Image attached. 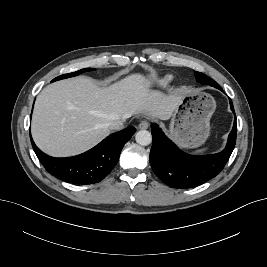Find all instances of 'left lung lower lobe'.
Listing matches in <instances>:
<instances>
[{"label":"left lung lower lobe","instance_id":"1","mask_svg":"<svg viewBox=\"0 0 267 267\" xmlns=\"http://www.w3.org/2000/svg\"><path fill=\"white\" fill-rule=\"evenodd\" d=\"M215 88L222 90L219 85ZM229 101L231 110L235 114L230 98ZM151 128L153 136L150 152L151 167L157 177L166 185L178 189L196 187L216 177L230 158L236 143V116L225 149L216 154L203 156L182 152L165 136L156 123H153Z\"/></svg>","mask_w":267,"mask_h":267}]
</instances>
